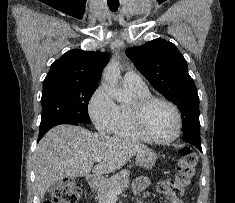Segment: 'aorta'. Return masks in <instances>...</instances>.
Returning a JSON list of instances; mask_svg holds the SVG:
<instances>
[{"instance_id":"aorta-1","label":"aorta","mask_w":235,"mask_h":203,"mask_svg":"<svg viewBox=\"0 0 235 203\" xmlns=\"http://www.w3.org/2000/svg\"><path fill=\"white\" fill-rule=\"evenodd\" d=\"M103 77L108 85V93L118 102L127 100L128 95L118 87V80L120 78V69L117 62H110L103 71Z\"/></svg>"}]
</instances>
